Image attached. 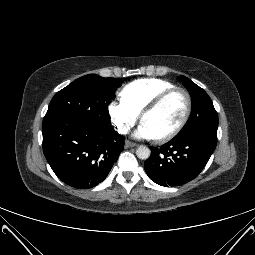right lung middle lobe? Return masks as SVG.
Returning <instances> with one entry per match:
<instances>
[{"label":"right lung middle lobe","instance_id":"dd1d6c3e","mask_svg":"<svg viewBox=\"0 0 255 255\" xmlns=\"http://www.w3.org/2000/svg\"><path fill=\"white\" fill-rule=\"evenodd\" d=\"M121 82L96 74L80 77L55 94L44 121L55 118H78L101 129L111 128L108 105Z\"/></svg>","mask_w":255,"mask_h":255}]
</instances>
